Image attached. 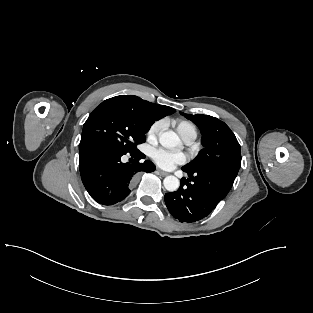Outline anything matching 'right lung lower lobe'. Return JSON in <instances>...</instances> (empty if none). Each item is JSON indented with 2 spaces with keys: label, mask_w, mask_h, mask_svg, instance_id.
Listing matches in <instances>:
<instances>
[{
  "label": "right lung lower lobe",
  "mask_w": 313,
  "mask_h": 313,
  "mask_svg": "<svg viewBox=\"0 0 313 313\" xmlns=\"http://www.w3.org/2000/svg\"><path fill=\"white\" fill-rule=\"evenodd\" d=\"M126 154L120 149L91 145L79 149L80 175L90 196L103 205H113L122 201L129 193L137 173L153 172L155 165L146 160L144 163H122L121 156ZM139 161L145 155L139 150L130 153Z\"/></svg>",
  "instance_id": "98d812e1"
}]
</instances>
